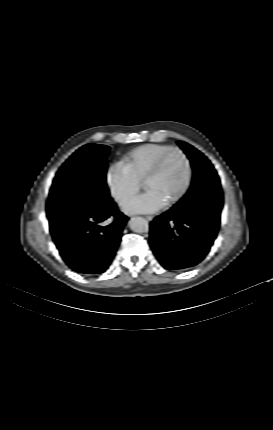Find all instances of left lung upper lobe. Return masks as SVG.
<instances>
[{
    "label": "left lung upper lobe",
    "instance_id": "obj_1",
    "mask_svg": "<svg viewBox=\"0 0 273 430\" xmlns=\"http://www.w3.org/2000/svg\"><path fill=\"white\" fill-rule=\"evenodd\" d=\"M178 143L193 166L192 184L186 194H195L205 187L221 189L220 179L210 161L193 146L183 141Z\"/></svg>",
    "mask_w": 273,
    "mask_h": 430
}]
</instances>
